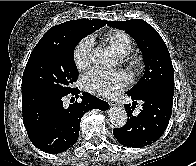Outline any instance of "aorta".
I'll return each mask as SVG.
<instances>
[{"instance_id":"762f6f07","label":"aorta","mask_w":196,"mask_h":166,"mask_svg":"<svg viewBox=\"0 0 196 166\" xmlns=\"http://www.w3.org/2000/svg\"><path fill=\"white\" fill-rule=\"evenodd\" d=\"M93 63L101 68H112L116 65V56L108 48H96L92 56ZM127 113L123 107L109 109V119L115 127H123L127 122Z\"/></svg>"}]
</instances>
